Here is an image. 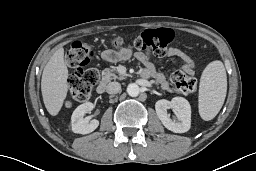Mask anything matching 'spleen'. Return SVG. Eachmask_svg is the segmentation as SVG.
<instances>
[{"label": "spleen", "mask_w": 256, "mask_h": 171, "mask_svg": "<svg viewBox=\"0 0 256 171\" xmlns=\"http://www.w3.org/2000/svg\"><path fill=\"white\" fill-rule=\"evenodd\" d=\"M227 76L224 64L215 60L204 69L199 85L198 108L201 118L212 120L224 104Z\"/></svg>", "instance_id": "obj_1"}]
</instances>
